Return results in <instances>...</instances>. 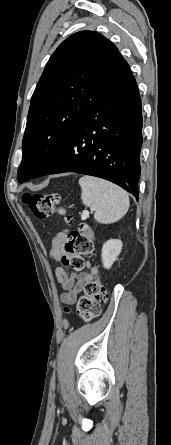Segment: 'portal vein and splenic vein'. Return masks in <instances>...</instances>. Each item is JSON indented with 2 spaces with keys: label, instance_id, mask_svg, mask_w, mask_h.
Instances as JSON below:
<instances>
[{
  "label": "portal vein and splenic vein",
  "instance_id": "18ae733b",
  "mask_svg": "<svg viewBox=\"0 0 171 445\" xmlns=\"http://www.w3.org/2000/svg\"><path fill=\"white\" fill-rule=\"evenodd\" d=\"M83 214H84L85 216H88V215H89V212H88V211H84Z\"/></svg>",
  "mask_w": 171,
  "mask_h": 445
}]
</instances>
